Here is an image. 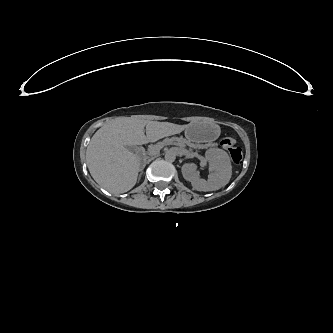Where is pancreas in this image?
Returning a JSON list of instances; mask_svg holds the SVG:
<instances>
[{
    "label": "pancreas",
    "instance_id": "cf45deb5",
    "mask_svg": "<svg viewBox=\"0 0 333 333\" xmlns=\"http://www.w3.org/2000/svg\"><path fill=\"white\" fill-rule=\"evenodd\" d=\"M166 142L167 143L179 144V145H188L190 147H196L193 143L188 142L186 139H167ZM160 145L161 144H158L156 146L151 147L150 150L148 151V154L149 155L156 154L160 149Z\"/></svg>",
    "mask_w": 333,
    "mask_h": 333
}]
</instances>
